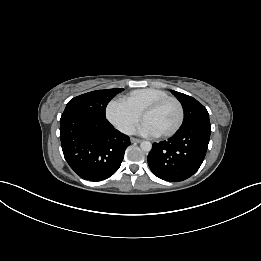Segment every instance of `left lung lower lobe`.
<instances>
[{"mask_svg":"<svg viewBox=\"0 0 261 261\" xmlns=\"http://www.w3.org/2000/svg\"><path fill=\"white\" fill-rule=\"evenodd\" d=\"M210 133V122H197L182 126L167 141L153 143L148 155L153 174L171 182L191 177L204 160Z\"/></svg>","mask_w":261,"mask_h":261,"instance_id":"1","label":"left lung lower lobe"}]
</instances>
